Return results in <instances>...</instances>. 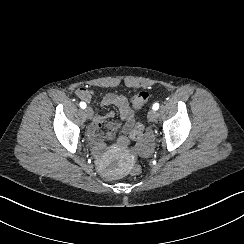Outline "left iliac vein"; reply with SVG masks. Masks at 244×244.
Returning a JSON list of instances; mask_svg holds the SVG:
<instances>
[{"instance_id":"left-iliac-vein-1","label":"left iliac vein","mask_w":244,"mask_h":244,"mask_svg":"<svg viewBox=\"0 0 244 244\" xmlns=\"http://www.w3.org/2000/svg\"><path fill=\"white\" fill-rule=\"evenodd\" d=\"M149 121L154 122L158 118V113L155 110H150L147 114Z\"/></svg>"}]
</instances>
